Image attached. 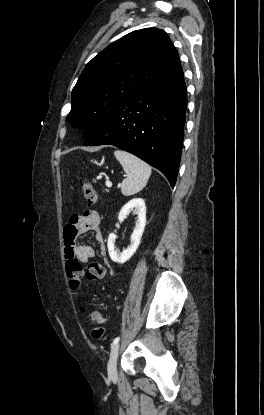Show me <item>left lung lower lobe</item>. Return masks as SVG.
Segmentation results:
<instances>
[{"label": "left lung lower lobe", "mask_w": 264, "mask_h": 415, "mask_svg": "<svg viewBox=\"0 0 264 415\" xmlns=\"http://www.w3.org/2000/svg\"><path fill=\"white\" fill-rule=\"evenodd\" d=\"M187 91L181 65L128 98L84 146L114 145L160 170L175 186Z\"/></svg>", "instance_id": "obj_1"}]
</instances>
